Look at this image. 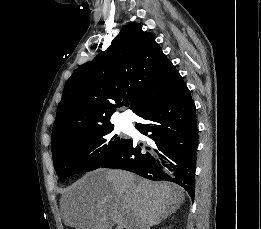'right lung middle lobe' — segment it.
I'll list each match as a JSON object with an SVG mask.
<instances>
[{
    "mask_svg": "<svg viewBox=\"0 0 261 229\" xmlns=\"http://www.w3.org/2000/svg\"><path fill=\"white\" fill-rule=\"evenodd\" d=\"M114 125H88L72 128L71 135L52 150L53 163L61 181L77 173L102 167L130 143L113 135Z\"/></svg>",
    "mask_w": 261,
    "mask_h": 229,
    "instance_id": "obj_1",
    "label": "right lung middle lobe"
}]
</instances>
